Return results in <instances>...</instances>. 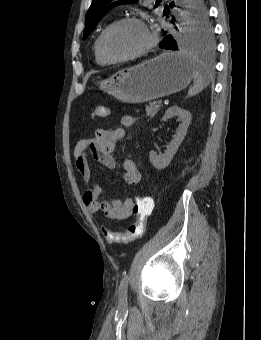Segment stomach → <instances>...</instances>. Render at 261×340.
Segmentation results:
<instances>
[{
    "label": "stomach",
    "instance_id": "obj_1",
    "mask_svg": "<svg viewBox=\"0 0 261 340\" xmlns=\"http://www.w3.org/2000/svg\"><path fill=\"white\" fill-rule=\"evenodd\" d=\"M193 72L194 63L187 56L166 52L116 72L99 82V87L124 103L138 104L185 89Z\"/></svg>",
    "mask_w": 261,
    "mask_h": 340
}]
</instances>
